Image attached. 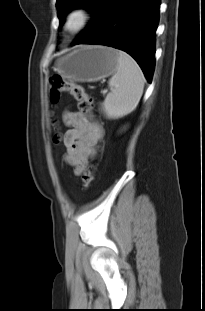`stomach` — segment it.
Wrapping results in <instances>:
<instances>
[{"mask_svg":"<svg viewBox=\"0 0 205 311\" xmlns=\"http://www.w3.org/2000/svg\"><path fill=\"white\" fill-rule=\"evenodd\" d=\"M118 51L106 46H83L59 57L54 66L62 78L96 82L117 71Z\"/></svg>","mask_w":205,"mask_h":311,"instance_id":"obj_1","label":"stomach"}]
</instances>
